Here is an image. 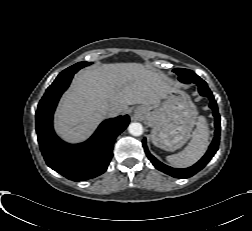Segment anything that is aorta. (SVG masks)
I'll return each mask as SVG.
<instances>
[{
  "instance_id": "obj_1",
  "label": "aorta",
  "mask_w": 252,
  "mask_h": 231,
  "mask_svg": "<svg viewBox=\"0 0 252 231\" xmlns=\"http://www.w3.org/2000/svg\"><path fill=\"white\" fill-rule=\"evenodd\" d=\"M128 131L133 136H140L143 133V126L138 122H133L129 124Z\"/></svg>"
}]
</instances>
